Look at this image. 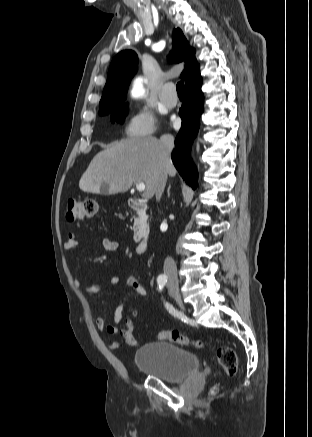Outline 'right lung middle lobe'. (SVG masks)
Returning <instances> with one entry per match:
<instances>
[{
  "label": "right lung middle lobe",
  "instance_id": "dd1d6c3e",
  "mask_svg": "<svg viewBox=\"0 0 312 437\" xmlns=\"http://www.w3.org/2000/svg\"><path fill=\"white\" fill-rule=\"evenodd\" d=\"M109 114V113H108ZM111 114V121H117L122 123L124 121L125 116L127 115V106L121 105L119 107H117L116 109H114L113 111L110 112ZM107 115V114H105Z\"/></svg>",
  "mask_w": 312,
  "mask_h": 437
}]
</instances>
